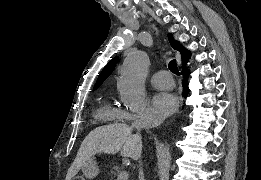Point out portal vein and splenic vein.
<instances>
[{"label":"portal vein and splenic vein","instance_id":"1","mask_svg":"<svg viewBox=\"0 0 261 180\" xmlns=\"http://www.w3.org/2000/svg\"><path fill=\"white\" fill-rule=\"evenodd\" d=\"M128 178H129V172H121L117 180H128Z\"/></svg>","mask_w":261,"mask_h":180}]
</instances>
